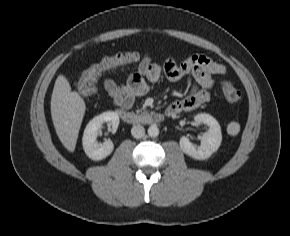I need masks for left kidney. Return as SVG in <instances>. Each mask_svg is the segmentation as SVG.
I'll return each mask as SVG.
<instances>
[{"mask_svg":"<svg viewBox=\"0 0 290 236\" xmlns=\"http://www.w3.org/2000/svg\"><path fill=\"white\" fill-rule=\"evenodd\" d=\"M194 120L197 123H204L209 126L208 131L204 133L201 139V145L196 147L187 137L183 136L179 142L180 148L185 154L194 159L205 160L218 150L222 141L221 128L218 121L209 114H197Z\"/></svg>","mask_w":290,"mask_h":236,"instance_id":"5707ae66","label":"left kidney"}]
</instances>
